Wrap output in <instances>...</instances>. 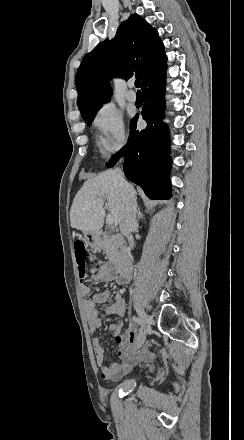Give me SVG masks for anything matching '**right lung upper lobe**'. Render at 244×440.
<instances>
[{
    "label": "right lung upper lobe",
    "instance_id": "right-lung-upper-lobe-1",
    "mask_svg": "<svg viewBox=\"0 0 244 440\" xmlns=\"http://www.w3.org/2000/svg\"><path fill=\"white\" fill-rule=\"evenodd\" d=\"M164 47L157 31L138 14L130 15L118 28L112 40L99 43L82 60L76 74L81 111L101 106L110 99L113 75L125 80L148 76L166 64Z\"/></svg>",
    "mask_w": 244,
    "mask_h": 440
}]
</instances>
